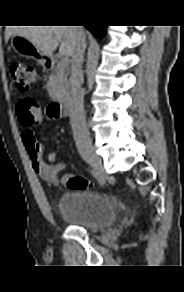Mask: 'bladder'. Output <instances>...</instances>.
Listing matches in <instances>:
<instances>
[{"label":"bladder","mask_w":184,"mask_h":292,"mask_svg":"<svg viewBox=\"0 0 184 292\" xmlns=\"http://www.w3.org/2000/svg\"><path fill=\"white\" fill-rule=\"evenodd\" d=\"M57 211L71 226L88 231L105 228L117 217L116 204L111 198L87 189L64 193L57 203Z\"/></svg>","instance_id":"1"}]
</instances>
